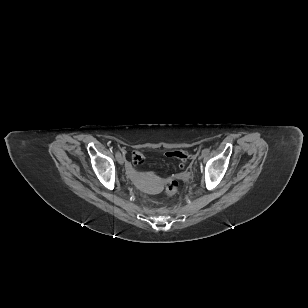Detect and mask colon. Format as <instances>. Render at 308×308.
Instances as JSON below:
<instances>
[{
  "mask_svg": "<svg viewBox=\"0 0 308 308\" xmlns=\"http://www.w3.org/2000/svg\"><path fill=\"white\" fill-rule=\"evenodd\" d=\"M168 156L178 158L183 164L187 161L188 155L184 151H171L167 153ZM132 160L135 164H140L143 161V155L139 152H135L132 156ZM178 182L174 179H168L165 183L166 193L170 196L174 195L178 191Z\"/></svg>",
  "mask_w": 308,
  "mask_h": 308,
  "instance_id": "obj_1",
  "label": "colon"
}]
</instances>
